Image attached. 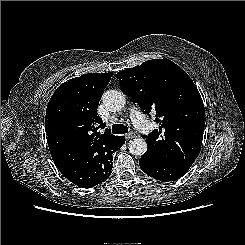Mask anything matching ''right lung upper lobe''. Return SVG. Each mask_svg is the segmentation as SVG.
<instances>
[{"label": "right lung upper lobe", "instance_id": "obj_1", "mask_svg": "<svg viewBox=\"0 0 245 245\" xmlns=\"http://www.w3.org/2000/svg\"><path fill=\"white\" fill-rule=\"evenodd\" d=\"M113 73H88L68 80L53 93L46 110L45 131L56 166H73L84 186L95 181L90 160L97 147L114 143V136L97 114L99 101Z\"/></svg>", "mask_w": 245, "mask_h": 245}]
</instances>
